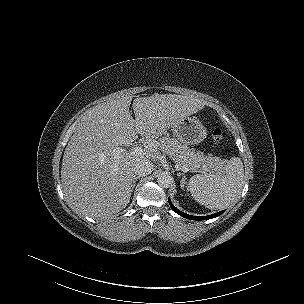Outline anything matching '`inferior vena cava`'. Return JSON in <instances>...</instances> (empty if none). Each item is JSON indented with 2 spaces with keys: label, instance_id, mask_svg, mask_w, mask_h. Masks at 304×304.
Here are the masks:
<instances>
[{
  "label": "inferior vena cava",
  "instance_id": "inferior-vena-cava-1",
  "mask_svg": "<svg viewBox=\"0 0 304 304\" xmlns=\"http://www.w3.org/2000/svg\"><path fill=\"white\" fill-rule=\"evenodd\" d=\"M153 163L148 160H142L134 164V174L136 177H144L153 171Z\"/></svg>",
  "mask_w": 304,
  "mask_h": 304
}]
</instances>
